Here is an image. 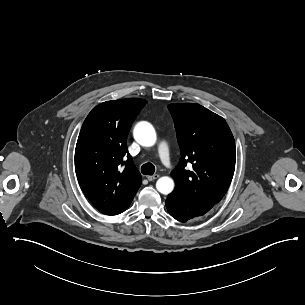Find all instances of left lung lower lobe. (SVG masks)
I'll return each instance as SVG.
<instances>
[{"instance_id":"obj_1","label":"left lung lower lobe","mask_w":305,"mask_h":305,"mask_svg":"<svg viewBox=\"0 0 305 305\" xmlns=\"http://www.w3.org/2000/svg\"><path fill=\"white\" fill-rule=\"evenodd\" d=\"M213 206L188 201L174 192L170 193L166 199V207L170 215L182 222L204 215Z\"/></svg>"}]
</instances>
